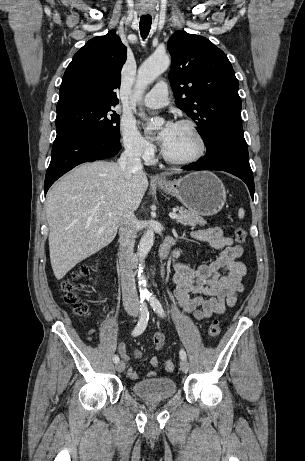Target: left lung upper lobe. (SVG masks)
Listing matches in <instances>:
<instances>
[{"label": "left lung upper lobe", "mask_w": 305, "mask_h": 461, "mask_svg": "<svg viewBox=\"0 0 305 461\" xmlns=\"http://www.w3.org/2000/svg\"><path fill=\"white\" fill-rule=\"evenodd\" d=\"M168 50L175 102L196 122L208 145L221 125L241 121L235 72L226 54L202 36L178 31L169 39Z\"/></svg>", "instance_id": "5c2ea615"}]
</instances>
